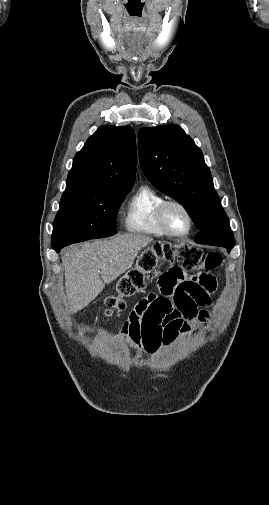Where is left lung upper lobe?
Returning <instances> with one entry per match:
<instances>
[{
	"instance_id": "obj_1",
	"label": "left lung upper lobe",
	"mask_w": 269,
	"mask_h": 505,
	"mask_svg": "<svg viewBox=\"0 0 269 505\" xmlns=\"http://www.w3.org/2000/svg\"><path fill=\"white\" fill-rule=\"evenodd\" d=\"M138 150L146 178L178 201L200 230L195 242L233 247L227 215L214 189L202 151L177 125L139 130Z\"/></svg>"
}]
</instances>
